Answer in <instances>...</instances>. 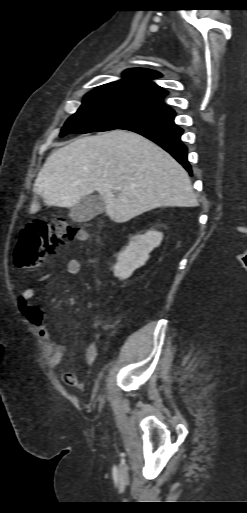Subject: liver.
<instances>
[{"mask_svg":"<svg viewBox=\"0 0 247 513\" xmlns=\"http://www.w3.org/2000/svg\"><path fill=\"white\" fill-rule=\"evenodd\" d=\"M121 187L117 195L112 191ZM30 214L71 208L97 191L111 220L124 223L160 207H196L187 171L144 136L121 129L85 136L54 151L34 184Z\"/></svg>","mask_w":247,"mask_h":513,"instance_id":"6515ba94","label":"liver"}]
</instances>
